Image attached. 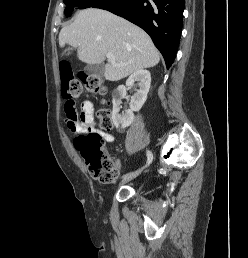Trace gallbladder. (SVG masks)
I'll return each mask as SVG.
<instances>
[{"instance_id":"obj_1","label":"gallbladder","mask_w":248,"mask_h":258,"mask_svg":"<svg viewBox=\"0 0 248 258\" xmlns=\"http://www.w3.org/2000/svg\"><path fill=\"white\" fill-rule=\"evenodd\" d=\"M104 64H88L84 71L89 75L102 77L104 75Z\"/></svg>"}]
</instances>
